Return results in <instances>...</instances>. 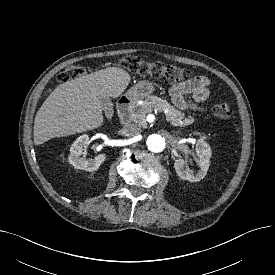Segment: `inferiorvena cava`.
<instances>
[{"instance_id": "1", "label": "inferior vena cava", "mask_w": 275, "mask_h": 275, "mask_svg": "<svg viewBox=\"0 0 275 275\" xmlns=\"http://www.w3.org/2000/svg\"><path fill=\"white\" fill-rule=\"evenodd\" d=\"M123 133L125 136L135 137L141 133V128L135 124H129L123 128Z\"/></svg>"}]
</instances>
